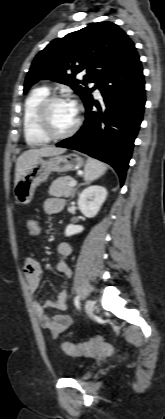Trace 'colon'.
Masks as SVG:
<instances>
[{
  "label": "colon",
  "mask_w": 165,
  "mask_h": 419,
  "mask_svg": "<svg viewBox=\"0 0 165 419\" xmlns=\"http://www.w3.org/2000/svg\"><path fill=\"white\" fill-rule=\"evenodd\" d=\"M27 226L31 233H35L38 229L39 223L36 219H30ZM103 339V336H96L81 343L62 342L60 347L67 355L80 356L94 350L103 341Z\"/></svg>",
  "instance_id": "obj_1"
}]
</instances>
